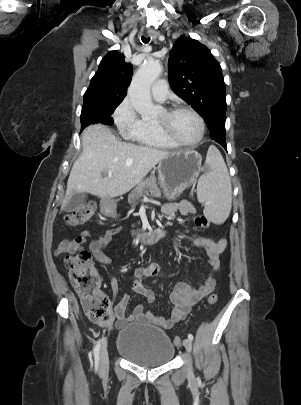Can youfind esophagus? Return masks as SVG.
<instances>
[{"mask_svg":"<svg viewBox=\"0 0 301 405\" xmlns=\"http://www.w3.org/2000/svg\"><path fill=\"white\" fill-rule=\"evenodd\" d=\"M149 37H151L152 39L157 38V33L155 31H150L147 34Z\"/></svg>","mask_w":301,"mask_h":405,"instance_id":"esophagus-1","label":"esophagus"}]
</instances>
